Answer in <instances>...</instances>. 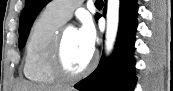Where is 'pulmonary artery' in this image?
<instances>
[{
	"label": "pulmonary artery",
	"instance_id": "e3ab8cb5",
	"mask_svg": "<svg viewBox=\"0 0 173 91\" xmlns=\"http://www.w3.org/2000/svg\"><path fill=\"white\" fill-rule=\"evenodd\" d=\"M81 3V0H56L50 2L48 9L63 22H66Z\"/></svg>",
	"mask_w": 173,
	"mask_h": 91
}]
</instances>
